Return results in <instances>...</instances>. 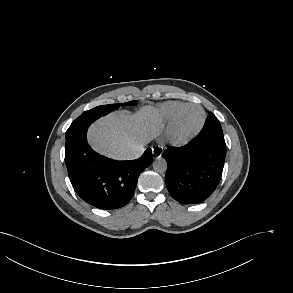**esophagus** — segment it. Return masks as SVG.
<instances>
[{"mask_svg":"<svg viewBox=\"0 0 293 293\" xmlns=\"http://www.w3.org/2000/svg\"><path fill=\"white\" fill-rule=\"evenodd\" d=\"M152 153H153V156L158 159L162 156V153H163V147L161 146H154L152 148Z\"/></svg>","mask_w":293,"mask_h":293,"instance_id":"34e87169","label":"esophagus"}]
</instances>
